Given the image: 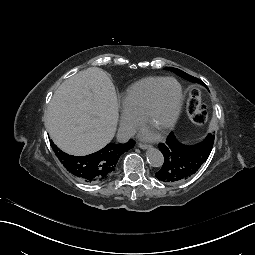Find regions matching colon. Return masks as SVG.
Listing matches in <instances>:
<instances>
[{
	"mask_svg": "<svg viewBox=\"0 0 255 255\" xmlns=\"http://www.w3.org/2000/svg\"><path fill=\"white\" fill-rule=\"evenodd\" d=\"M186 111L191 121L203 125L208 120L207 111L202 102L201 92L198 88H191L188 92Z\"/></svg>",
	"mask_w": 255,
	"mask_h": 255,
	"instance_id": "5ec220e1",
	"label": "colon"
}]
</instances>
